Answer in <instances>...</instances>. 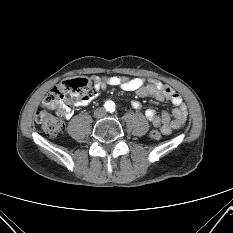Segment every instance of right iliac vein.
<instances>
[{
	"mask_svg": "<svg viewBox=\"0 0 233 233\" xmlns=\"http://www.w3.org/2000/svg\"><path fill=\"white\" fill-rule=\"evenodd\" d=\"M94 117H95V118H101V117H102V111H100V110L97 111V110H96V111L94 112Z\"/></svg>",
	"mask_w": 233,
	"mask_h": 233,
	"instance_id": "1",
	"label": "right iliac vein"
}]
</instances>
